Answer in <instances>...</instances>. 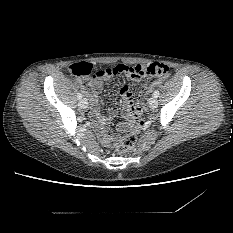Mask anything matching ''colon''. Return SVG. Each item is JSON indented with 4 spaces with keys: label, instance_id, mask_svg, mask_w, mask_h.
Masks as SVG:
<instances>
[{
    "label": "colon",
    "instance_id": "colon-1",
    "mask_svg": "<svg viewBox=\"0 0 233 233\" xmlns=\"http://www.w3.org/2000/svg\"><path fill=\"white\" fill-rule=\"evenodd\" d=\"M67 70L69 73L79 77L81 81L86 84L91 75L93 78H105L120 73L136 79L145 78L153 80L166 75L168 67L161 63H153L146 67L136 64L118 63L113 66L95 69L93 64L83 61L69 65ZM126 111L135 117H139L142 109L139 105L130 104L126 106ZM140 124L141 121L139 120V125ZM135 141L136 138L133 134H127L121 138L115 139L112 143L113 152L117 155L128 153L133 149Z\"/></svg>",
    "mask_w": 233,
    "mask_h": 233
}]
</instances>
